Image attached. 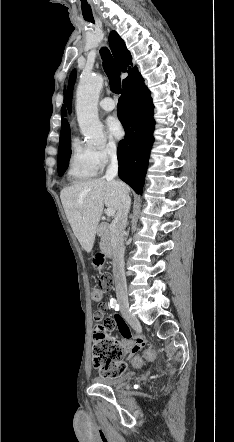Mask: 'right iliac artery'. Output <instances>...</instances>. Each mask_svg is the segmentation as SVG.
<instances>
[{
  "mask_svg": "<svg viewBox=\"0 0 234 442\" xmlns=\"http://www.w3.org/2000/svg\"><path fill=\"white\" fill-rule=\"evenodd\" d=\"M110 306H111V308L115 309L116 311L119 310V304H118V302H117L116 299H113V298H112V299L110 300Z\"/></svg>",
  "mask_w": 234,
  "mask_h": 442,
  "instance_id": "82829eb1",
  "label": "right iliac artery"
}]
</instances>
